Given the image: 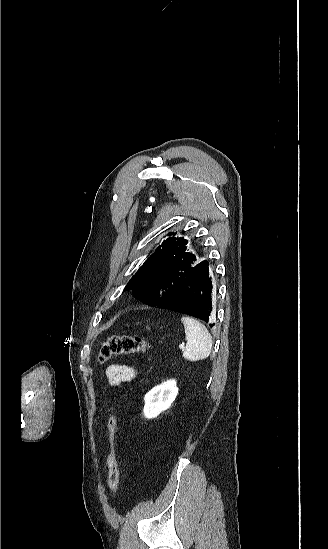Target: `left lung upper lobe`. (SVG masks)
<instances>
[{
  "mask_svg": "<svg viewBox=\"0 0 328 549\" xmlns=\"http://www.w3.org/2000/svg\"><path fill=\"white\" fill-rule=\"evenodd\" d=\"M162 245L136 272L128 282L125 290L132 289L134 295L147 305L167 299L175 290L179 280L189 273L196 261V256L187 252L188 241L174 238L171 233Z\"/></svg>",
  "mask_w": 328,
  "mask_h": 549,
  "instance_id": "obj_1",
  "label": "left lung upper lobe"
}]
</instances>
